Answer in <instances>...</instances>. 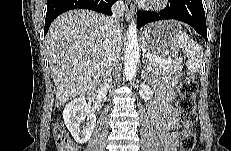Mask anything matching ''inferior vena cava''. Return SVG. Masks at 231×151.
Masks as SVG:
<instances>
[{
  "instance_id": "obj_1",
  "label": "inferior vena cava",
  "mask_w": 231,
  "mask_h": 151,
  "mask_svg": "<svg viewBox=\"0 0 231 151\" xmlns=\"http://www.w3.org/2000/svg\"><path fill=\"white\" fill-rule=\"evenodd\" d=\"M113 16L107 18L108 32L106 43V70L105 77H109L115 65V61L120 53L121 46L117 42V36L121 32V26L119 23V17H122L125 12V5L123 1H117L112 7ZM105 88H108V84L105 83Z\"/></svg>"
}]
</instances>
